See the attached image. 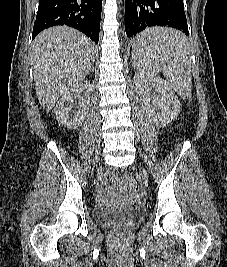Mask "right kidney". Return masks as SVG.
Instances as JSON below:
<instances>
[{"label":"right kidney","mask_w":227,"mask_h":267,"mask_svg":"<svg viewBox=\"0 0 227 267\" xmlns=\"http://www.w3.org/2000/svg\"><path fill=\"white\" fill-rule=\"evenodd\" d=\"M92 85L81 82L66 92L55 107L56 119L68 129H77L86 117Z\"/></svg>","instance_id":"ca27d5eb"}]
</instances>
